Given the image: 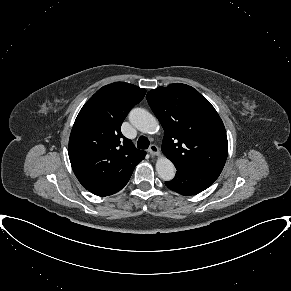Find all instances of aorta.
I'll list each match as a JSON object with an SVG mask.
<instances>
[{"mask_svg": "<svg viewBox=\"0 0 291 291\" xmlns=\"http://www.w3.org/2000/svg\"><path fill=\"white\" fill-rule=\"evenodd\" d=\"M129 121L135 128L143 133L153 134L159 127L156 118L142 108L132 109L129 113ZM156 171L159 177L165 181L172 180L176 173L173 163L164 156L157 159Z\"/></svg>", "mask_w": 291, "mask_h": 291, "instance_id": "aorta-1", "label": "aorta"}]
</instances>
